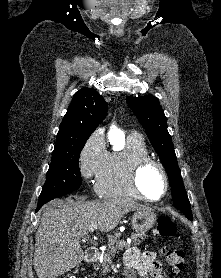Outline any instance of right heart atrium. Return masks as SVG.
Segmentation results:
<instances>
[{
  "mask_svg": "<svg viewBox=\"0 0 221 278\" xmlns=\"http://www.w3.org/2000/svg\"><path fill=\"white\" fill-rule=\"evenodd\" d=\"M108 158L104 135L93 132L84 143L79 154V170L86 180L96 179L103 171Z\"/></svg>",
  "mask_w": 221,
  "mask_h": 278,
  "instance_id": "obj_1",
  "label": "right heart atrium"
}]
</instances>
